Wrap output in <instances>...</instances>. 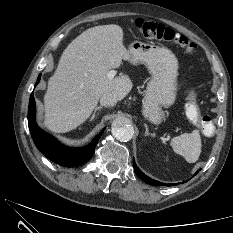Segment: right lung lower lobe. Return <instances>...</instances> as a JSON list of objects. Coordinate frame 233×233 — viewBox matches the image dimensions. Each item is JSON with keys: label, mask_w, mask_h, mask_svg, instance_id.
<instances>
[{"label": "right lung lower lobe", "mask_w": 233, "mask_h": 233, "mask_svg": "<svg viewBox=\"0 0 233 233\" xmlns=\"http://www.w3.org/2000/svg\"><path fill=\"white\" fill-rule=\"evenodd\" d=\"M41 78L38 76L37 83ZM35 100L30 96L28 109V126L36 147L51 161L65 167H76L86 163L93 155L96 143L104 129L93 141L82 148H71L59 143L53 136L41 130L35 122Z\"/></svg>", "instance_id": "98d812e1"}]
</instances>
